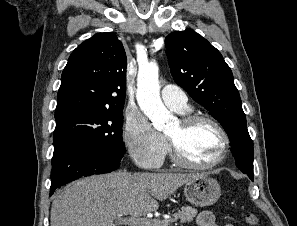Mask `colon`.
<instances>
[{
  "instance_id": "1",
  "label": "colon",
  "mask_w": 297,
  "mask_h": 226,
  "mask_svg": "<svg viewBox=\"0 0 297 226\" xmlns=\"http://www.w3.org/2000/svg\"><path fill=\"white\" fill-rule=\"evenodd\" d=\"M244 219L248 226H256L258 223V218L254 214H246Z\"/></svg>"
}]
</instances>
